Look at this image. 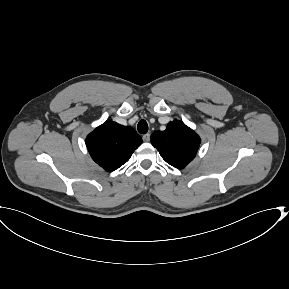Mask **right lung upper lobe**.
Segmentation results:
<instances>
[{
	"instance_id": "obj_1",
	"label": "right lung upper lobe",
	"mask_w": 289,
	"mask_h": 289,
	"mask_svg": "<svg viewBox=\"0 0 289 289\" xmlns=\"http://www.w3.org/2000/svg\"><path fill=\"white\" fill-rule=\"evenodd\" d=\"M141 143V137L132 127L113 121H106L86 138L92 159L109 172L125 164Z\"/></svg>"
}]
</instances>
